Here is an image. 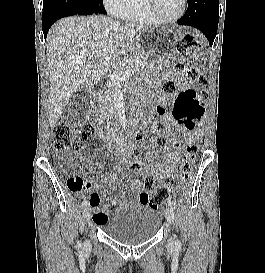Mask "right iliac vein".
Segmentation results:
<instances>
[{
    "label": "right iliac vein",
    "instance_id": "1",
    "mask_svg": "<svg viewBox=\"0 0 265 273\" xmlns=\"http://www.w3.org/2000/svg\"><path fill=\"white\" fill-rule=\"evenodd\" d=\"M83 217H84L86 222H88L90 220V217H91V208L90 207H86L83 210ZM85 244L88 245L89 241H86Z\"/></svg>",
    "mask_w": 265,
    "mask_h": 273
}]
</instances>
